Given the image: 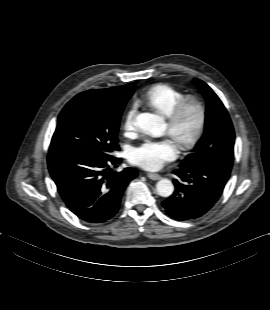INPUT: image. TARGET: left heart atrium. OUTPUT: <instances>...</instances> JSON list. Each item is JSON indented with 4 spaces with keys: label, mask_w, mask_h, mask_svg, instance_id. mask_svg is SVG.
I'll return each instance as SVG.
<instances>
[{
    "label": "left heart atrium",
    "mask_w": 270,
    "mask_h": 310,
    "mask_svg": "<svg viewBox=\"0 0 270 310\" xmlns=\"http://www.w3.org/2000/svg\"><path fill=\"white\" fill-rule=\"evenodd\" d=\"M177 146L170 138L145 140L131 149L129 160L146 170H157L177 157Z\"/></svg>",
    "instance_id": "obj_1"
}]
</instances>
